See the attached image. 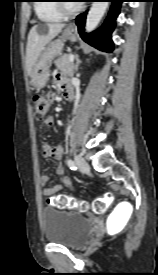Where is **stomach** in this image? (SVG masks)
Segmentation results:
<instances>
[{
	"label": "stomach",
	"mask_w": 158,
	"mask_h": 275,
	"mask_svg": "<svg viewBox=\"0 0 158 275\" xmlns=\"http://www.w3.org/2000/svg\"><path fill=\"white\" fill-rule=\"evenodd\" d=\"M77 33L70 28H66L62 36L45 46L35 62L31 72V82L36 90L42 89L49 79V67L53 59L62 54L64 42L76 41Z\"/></svg>",
	"instance_id": "obj_1"
}]
</instances>
